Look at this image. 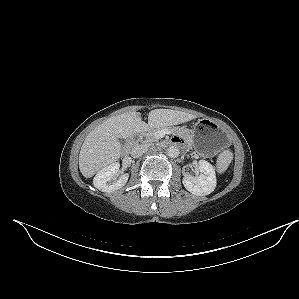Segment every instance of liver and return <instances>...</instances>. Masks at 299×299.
<instances>
[{
	"label": "liver",
	"mask_w": 299,
	"mask_h": 299,
	"mask_svg": "<svg viewBox=\"0 0 299 299\" xmlns=\"http://www.w3.org/2000/svg\"><path fill=\"white\" fill-rule=\"evenodd\" d=\"M195 114L170 109H155L149 112L148 124L136 111L123 113L103 121L85 138L80 154L79 169L85 178L115 163L121 156L120 139H127L149 128H163L191 121Z\"/></svg>",
	"instance_id": "1"
}]
</instances>
